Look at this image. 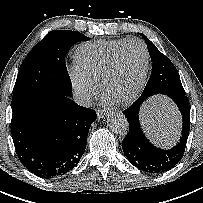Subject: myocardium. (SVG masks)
I'll list each match as a JSON object with an SVG mask.
<instances>
[{
  "instance_id": "obj_1",
  "label": "myocardium",
  "mask_w": 203,
  "mask_h": 203,
  "mask_svg": "<svg viewBox=\"0 0 203 203\" xmlns=\"http://www.w3.org/2000/svg\"><path fill=\"white\" fill-rule=\"evenodd\" d=\"M131 43H138L142 46V48L144 50V54H145V64H144V69H143L142 75L140 77V80H139L137 86L135 87V89L132 91V93L130 95H128L127 97L122 98V99H117V100L113 99L117 104H121V105L130 104L133 101H135L145 87L148 73H149V68H150V52H149V49H148L146 43L139 38L127 39L115 51V53L113 54L109 63L107 64L106 68L104 69L102 76H101V79H100L101 90L105 95H108L107 90H108L109 80L112 77V75H113V73H114V71L118 65L122 51L124 50V48L127 45H129Z\"/></svg>"
}]
</instances>
